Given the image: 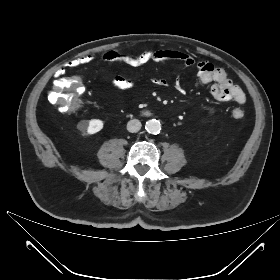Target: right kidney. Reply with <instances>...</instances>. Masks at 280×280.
<instances>
[{
  "label": "right kidney",
  "mask_w": 280,
  "mask_h": 280,
  "mask_svg": "<svg viewBox=\"0 0 280 280\" xmlns=\"http://www.w3.org/2000/svg\"><path fill=\"white\" fill-rule=\"evenodd\" d=\"M103 128V121L99 119L83 120L78 124V129L84 135H92L99 132Z\"/></svg>",
  "instance_id": "right-kidney-1"
}]
</instances>
